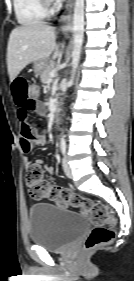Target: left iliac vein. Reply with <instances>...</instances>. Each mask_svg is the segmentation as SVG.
Segmentation results:
<instances>
[{
  "instance_id": "obj_1",
  "label": "left iliac vein",
  "mask_w": 134,
  "mask_h": 281,
  "mask_svg": "<svg viewBox=\"0 0 134 281\" xmlns=\"http://www.w3.org/2000/svg\"><path fill=\"white\" fill-rule=\"evenodd\" d=\"M63 169H64V173L66 174V176L68 178H72L73 174H72V170L71 167L68 163L67 157L65 156L63 159Z\"/></svg>"
}]
</instances>
